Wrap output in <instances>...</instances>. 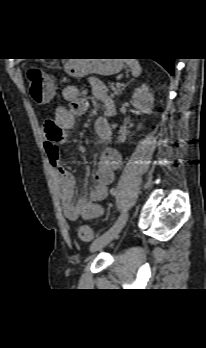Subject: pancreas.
Segmentation results:
<instances>
[{"instance_id":"1","label":"pancreas","mask_w":206,"mask_h":348,"mask_svg":"<svg viewBox=\"0 0 206 348\" xmlns=\"http://www.w3.org/2000/svg\"><path fill=\"white\" fill-rule=\"evenodd\" d=\"M109 89L112 91L113 96H118L122 92V87H114L113 83L109 84Z\"/></svg>"}]
</instances>
